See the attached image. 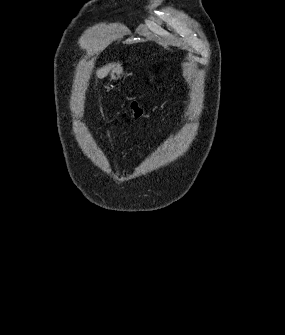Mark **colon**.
<instances>
[{"label":"colon","mask_w":285,"mask_h":335,"mask_svg":"<svg viewBox=\"0 0 285 335\" xmlns=\"http://www.w3.org/2000/svg\"><path fill=\"white\" fill-rule=\"evenodd\" d=\"M129 112L135 116V117H139L142 115L143 113V109L141 107V104L139 103V101H133L130 106H129Z\"/></svg>","instance_id":"colon-1"}]
</instances>
